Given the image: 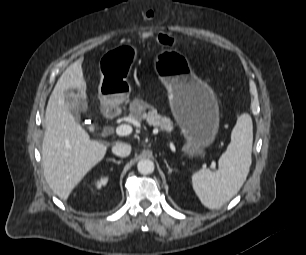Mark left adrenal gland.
I'll list each match as a JSON object with an SVG mask.
<instances>
[{
    "label": "left adrenal gland",
    "mask_w": 306,
    "mask_h": 255,
    "mask_svg": "<svg viewBox=\"0 0 306 255\" xmlns=\"http://www.w3.org/2000/svg\"><path fill=\"white\" fill-rule=\"evenodd\" d=\"M164 162H165L166 167H167V169H168V173H169V174H171V173H172V171H173V169H172V168H170V166L168 165V163H167L166 159H164Z\"/></svg>",
    "instance_id": "obj_1"
}]
</instances>
